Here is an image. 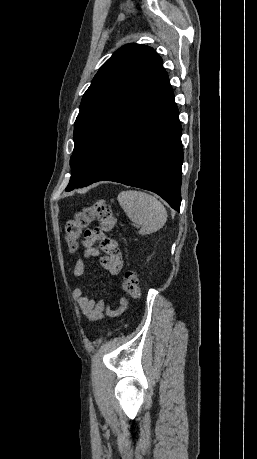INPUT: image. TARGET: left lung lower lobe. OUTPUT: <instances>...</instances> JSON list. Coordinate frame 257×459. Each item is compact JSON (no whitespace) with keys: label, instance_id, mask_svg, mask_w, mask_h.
Returning a JSON list of instances; mask_svg holds the SVG:
<instances>
[{"label":"left lung lower lobe","instance_id":"obj_1","mask_svg":"<svg viewBox=\"0 0 257 459\" xmlns=\"http://www.w3.org/2000/svg\"><path fill=\"white\" fill-rule=\"evenodd\" d=\"M181 132L173 90L162 67L114 127L105 162L92 183L108 180L146 189L179 211Z\"/></svg>","mask_w":257,"mask_h":459}]
</instances>
